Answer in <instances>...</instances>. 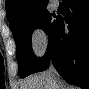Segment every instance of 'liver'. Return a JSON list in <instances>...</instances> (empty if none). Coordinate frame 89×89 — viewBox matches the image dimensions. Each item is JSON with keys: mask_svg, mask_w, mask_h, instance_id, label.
I'll list each match as a JSON object with an SVG mask.
<instances>
[{"mask_svg": "<svg viewBox=\"0 0 89 89\" xmlns=\"http://www.w3.org/2000/svg\"><path fill=\"white\" fill-rule=\"evenodd\" d=\"M55 82H59L56 74L49 70L39 74H34L24 80L21 89H59L55 88ZM61 89H72V88H61Z\"/></svg>", "mask_w": 89, "mask_h": 89, "instance_id": "obj_1", "label": "liver"}]
</instances>
